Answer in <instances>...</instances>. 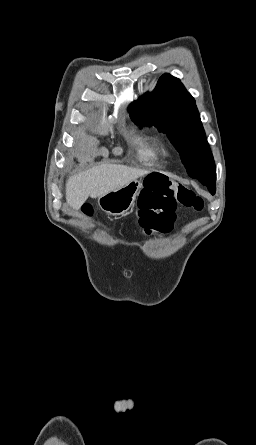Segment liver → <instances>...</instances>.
Listing matches in <instances>:
<instances>
[{
  "instance_id": "6515ba94",
  "label": "liver",
  "mask_w": 256,
  "mask_h": 445,
  "mask_svg": "<svg viewBox=\"0 0 256 445\" xmlns=\"http://www.w3.org/2000/svg\"><path fill=\"white\" fill-rule=\"evenodd\" d=\"M144 169L102 164L71 176L66 183L67 203L78 210L88 199L100 197L148 174Z\"/></svg>"
}]
</instances>
